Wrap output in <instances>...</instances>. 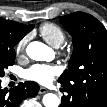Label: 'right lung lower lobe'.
I'll list each match as a JSON object with an SVG mask.
<instances>
[{
    "instance_id": "obj_1",
    "label": "right lung lower lobe",
    "mask_w": 107,
    "mask_h": 107,
    "mask_svg": "<svg viewBox=\"0 0 107 107\" xmlns=\"http://www.w3.org/2000/svg\"><path fill=\"white\" fill-rule=\"evenodd\" d=\"M38 91L39 85L32 81L20 83L11 90L0 86V107H18L22 100L36 96Z\"/></svg>"
}]
</instances>
